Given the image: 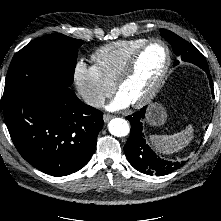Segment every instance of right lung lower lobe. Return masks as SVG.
<instances>
[{"label": "right lung lower lobe", "mask_w": 221, "mask_h": 221, "mask_svg": "<svg viewBox=\"0 0 221 221\" xmlns=\"http://www.w3.org/2000/svg\"><path fill=\"white\" fill-rule=\"evenodd\" d=\"M3 109L21 156L38 170L57 177L88 163L103 126L101 111L55 82H47L35 92L4 93Z\"/></svg>", "instance_id": "right-lung-lower-lobe-1"}]
</instances>
